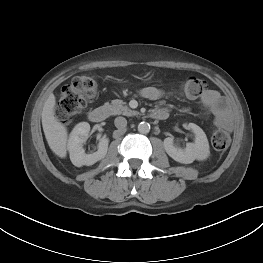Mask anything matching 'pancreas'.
I'll return each mask as SVG.
<instances>
[{"label": "pancreas", "instance_id": "cf45deb5", "mask_svg": "<svg viewBox=\"0 0 263 263\" xmlns=\"http://www.w3.org/2000/svg\"><path fill=\"white\" fill-rule=\"evenodd\" d=\"M106 108H108L111 115H126V116H132L137 114L136 111H132L129 107L124 105V102L122 100H112L111 104L105 103L104 105Z\"/></svg>", "mask_w": 263, "mask_h": 263}]
</instances>
